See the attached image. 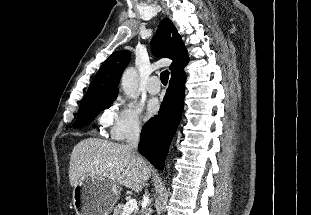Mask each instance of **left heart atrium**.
<instances>
[{"mask_svg": "<svg viewBox=\"0 0 311 215\" xmlns=\"http://www.w3.org/2000/svg\"><path fill=\"white\" fill-rule=\"evenodd\" d=\"M160 109V104L158 100L156 99H151L148 101L147 106H146V117L151 118L155 116Z\"/></svg>", "mask_w": 311, "mask_h": 215, "instance_id": "obj_1", "label": "left heart atrium"}]
</instances>
